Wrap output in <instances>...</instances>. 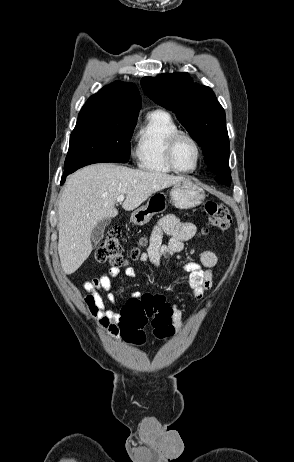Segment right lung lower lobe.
I'll return each instance as SVG.
<instances>
[{
    "mask_svg": "<svg viewBox=\"0 0 294 462\" xmlns=\"http://www.w3.org/2000/svg\"><path fill=\"white\" fill-rule=\"evenodd\" d=\"M69 174H71V173H67V174H63V175H62L61 184H63V183L65 182L66 177H67Z\"/></svg>",
    "mask_w": 294,
    "mask_h": 462,
    "instance_id": "98d812e1",
    "label": "right lung lower lobe"
}]
</instances>
